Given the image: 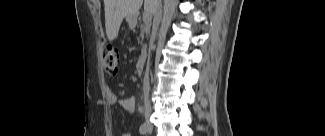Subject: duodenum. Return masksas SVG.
I'll use <instances>...</instances> for the list:
<instances>
[{"instance_id":"410a0bca","label":"duodenum","mask_w":325,"mask_h":136,"mask_svg":"<svg viewBox=\"0 0 325 136\" xmlns=\"http://www.w3.org/2000/svg\"><path fill=\"white\" fill-rule=\"evenodd\" d=\"M146 67V58L140 59L136 64V72L141 74Z\"/></svg>"}]
</instances>
